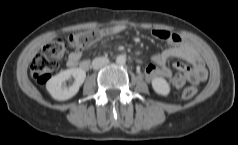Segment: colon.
Masks as SVG:
<instances>
[{"label":"colon","instance_id":"1","mask_svg":"<svg viewBox=\"0 0 238 145\" xmlns=\"http://www.w3.org/2000/svg\"><path fill=\"white\" fill-rule=\"evenodd\" d=\"M102 32L99 30H87L71 34L68 37V44L75 50L82 51L89 45L96 42ZM66 51V42L63 39H56L43 47L31 62L30 70L32 77L40 84H45L58 67L59 60ZM197 93L193 86L186 87L182 91V98L190 99Z\"/></svg>","mask_w":238,"mask_h":145}]
</instances>
